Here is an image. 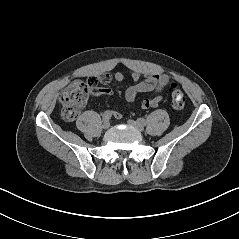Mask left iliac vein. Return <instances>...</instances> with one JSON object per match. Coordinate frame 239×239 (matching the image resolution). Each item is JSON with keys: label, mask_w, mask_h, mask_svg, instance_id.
<instances>
[{"label": "left iliac vein", "mask_w": 239, "mask_h": 239, "mask_svg": "<svg viewBox=\"0 0 239 239\" xmlns=\"http://www.w3.org/2000/svg\"><path fill=\"white\" fill-rule=\"evenodd\" d=\"M127 122H128L129 125L135 127L139 131L144 130V126L142 124H140L139 122L135 121V120L129 119Z\"/></svg>", "instance_id": "1"}]
</instances>
